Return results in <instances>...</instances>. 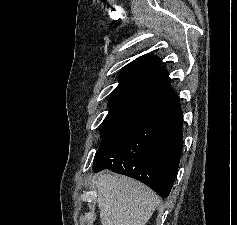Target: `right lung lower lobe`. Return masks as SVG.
I'll return each mask as SVG.
<instances>
[{
	"mask_svg": "<svg viewBox=\"0 0 237 225\" xmlns=\"http://www.w3.org/2000/svg\"><path fill=\"white\" fill-rule=\"evenodd\" d=\"M179 97L156 105L112 131L97 150L93 170L109 169L169 196L183 147Z\"/></svg>",
	"mask_w": 237,
	"mask_h": 225,
	"instance_id": "1",
	"label": "right lung lower lobe"
}]
</instances>
